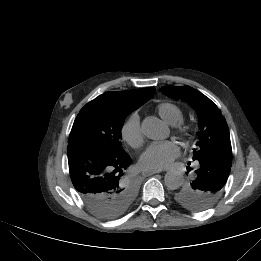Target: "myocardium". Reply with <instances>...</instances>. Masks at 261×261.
Returning a JSON list of instances; mask_svg holds the SVG:
<instances>
[{"label":"myocardium","mask_w":261,"mask_h":261,"mask_svg":"<svg viewBox=\"0 0 261 261\" xmlns=\"http://www.w3.org/2000/svg\"><path fill=\"white\" fill-rule=\"evenodd\" d=\"M193 131V126L188 122H179L174 126V132L181 138L187 139L191 136Z\"/></svg>","instance_id":"f54148a6"}]
</instances>
